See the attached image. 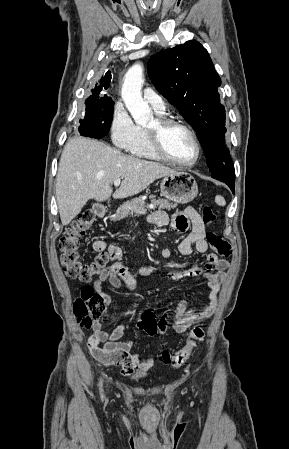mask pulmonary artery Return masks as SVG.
<instances>
[{
	"label": "pulmonary artery",
	"mask_w": 289,
	"mask_h": 449,
	"mask_svg": "<svg viewBox=\"0 0 289 449\" xmlns=\"http://www.w3.org/2000/svg\"><path fill=\"white\" fill-rule=\"evenodd\" d=\"M143 97L147 103H149L154 110L162 112L165 110V103L162 97L156 93L152 88L147 87L143 91Z\"/></svg>",
	"instance_id": "e3ab8cb5"
}]
</instances>
